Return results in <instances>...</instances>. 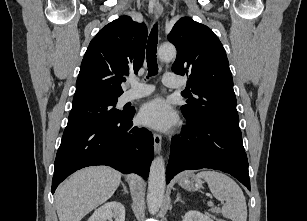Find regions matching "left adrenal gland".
<instances>
[{
	"mask_svg": "<svg viewBox=\"0 0 307 221\" xmlns=\"http://www.w3.org/2000/svg\"><path fill=\"white\" fill-rule=\"evenodd\" d=\"M176 202H184V201L181 199L180 194H177V197H176V200L174 201V203H176Z\"/></svg>",
	"mask_w": 307,
	"mask_h": 221,
	"instance_id": "obj_1",
	"label": "left adrenal gland"
}]
</instances>
